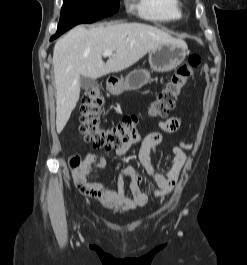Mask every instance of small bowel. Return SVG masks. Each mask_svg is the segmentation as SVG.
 I'll list each match as a JSON object with an SVG mask.
<instances>
[{"instance_id": "obj_1", "label": "small bowel", "mask_w": 247, "mask_h": 265, "mask_svg": "<svg viewBox=\"0 0 247 265\" xmlns=\"http://www.w3.org/2000/svg\"><path fill=\"white\" fill-rule=\"evenodd\" d=\"M182 125L181 117H171L159 121V127L162 132H152L146 135L142 141L139 150V160L148 177L157 185L154 195L156 197H165L174 189L183 166L186 162V151L190 145L180 142L173 145L172 150L174 159L166 175L157 173L150 160V149L154 146L161 145L165 142L164 133H173ZM140 141L137 135L122 147L118 148L116 153L119 157H124L130 147ZM105 168L107 159L98 156L94 152L88 153L83 159L81 165L72 171L73 181L79 191L89 197L98 200L104 207L111 210L130 211L146 205L150 196L143 187V176L140 171L133 165L125 164L117 177V189L113 190L105 187L103 184L91 179V167ZM125 178H129L128 191L125 187Z\"/></svg>"}]
</instances>
